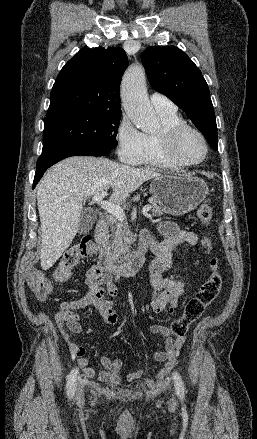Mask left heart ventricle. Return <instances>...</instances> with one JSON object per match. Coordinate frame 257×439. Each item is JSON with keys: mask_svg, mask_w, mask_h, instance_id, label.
Returning a JSON list of instances; mask_svg holds the SVG:
<instances>
[{"mask_svg": "<svg viewBox=\"0 0 257 439\" xmlns=\"http://www.w3.org/2000/svg\"><path fill=\"white\" fill-rule=\"evenodd\" d=\"M176 153L183 161L195 162L202 158L204 146L195 133L188 131L178 140Z\"/></svg>", "mask_w": 257, "mask_h": 439, "instance_id": "b2bd125f", "label": "left heart ventricle"}]
</instances>
